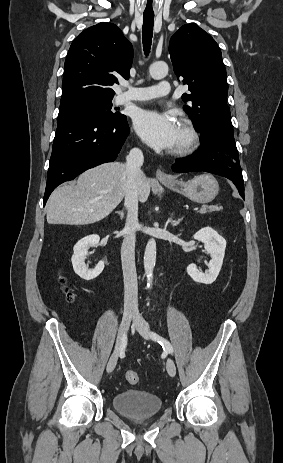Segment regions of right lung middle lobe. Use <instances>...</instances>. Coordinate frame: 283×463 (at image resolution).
<instances>
[{
  "label": "right lung middle lobe",
  "mask_w": 283,
  "mask_h": 463,
  "mask_svg": "<svg viewBox=\"0 0 283 463\" xmlns=\"http://www.w3.org/2000/svg\"><path fill=\"white\" fill-rule=\"evenodd\" d=\"M112 98H92L74 105L60 108L57 125L81 116H96L107 119H117L120 113H112Z\"/></svg>",
  "instance_id": "1"
}]
</instances>
